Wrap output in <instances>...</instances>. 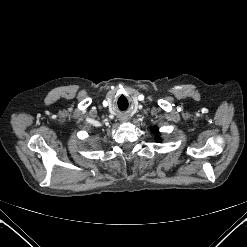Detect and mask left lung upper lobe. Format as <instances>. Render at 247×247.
<instances>
[{
	"label": "left lung upper lobe",
	"instance_id": "5c2ea615",
	"mask_svg": "<svg viewBox=\"0 0 247 247\" xmlns=\"http://www.w3.org/2000/svg\"><path fill=\"white\" fill-rule=\"evenodd\" d=\"M152 131H153L155 134H159L158 128H157L156 126H154V127L152 128ZM156 140L160 142V138H159V137H157Z\"/></svg>",
	"mask_w": 247,
	"mask_h": 247
}]
</instances>
